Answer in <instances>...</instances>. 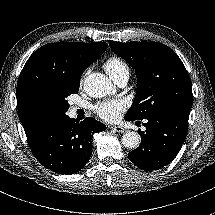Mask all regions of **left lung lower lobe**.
<instances>
[{
  "label": "left lung lower lobe",
  "instance_id": "0a47b994",
  "mask_svg": "<svg viewBox=\"0 0 215 215\" xmlns=\"http://www.w3.org/2000/svg\"><path fill=\"white\" fill-rule=\"evenodd\" d=\"M190 110H174L154 114L138 130L141 144L128 154L140 169L152 171L170 163L178 154L187 135ZM126 120H128L125 117Z\"/></svg>",
  "mask_w": 215,
  "mask_h": 215
}]
</instances>
